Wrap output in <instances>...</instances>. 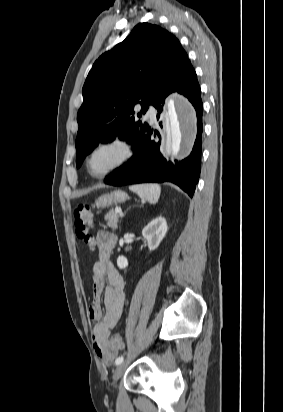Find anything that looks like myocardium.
<instances>
[{
	"label": "myocardium",
	"instance_id": "myocardium-1",
	"mask_svg": "<svg viewBox=\"0 0 283 412\" xmlns=\"http://www.w3.org/2000/svg\"><path fill=\"white\" fill-rule=\"evenodd\" d=\"M112 146H117L121 149L122 154L121 157L109 168L102 172H94L91 169V159L94 156V154L107 147H112ZM135 150L132 142L124 137L121 136H115L109 139L102 140L98 142L96 145H94L91 150L88 152L86 158H85V167L87 172L95 178H104L108 176L109 174H112L113 172L119 170L123 166H125L134 156Z\"/></svg>",
	"mask_w": 283,
	"mask_h": 412
}]
</instances>
